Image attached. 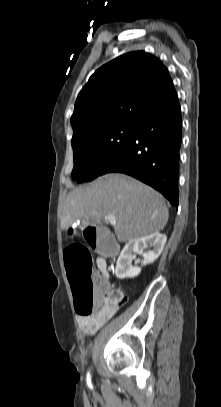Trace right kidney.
Here are the masks:
<instances>
[{
  "mask_svg": "<svg viewBox=\"0 0 221 407\" xmlns=\"http://www.w3.org/2000/svg\"><path fill=\"white\" fill-rule=\"evenodd\" d=\"M167 237L164 234L153 233L135 240L129 241L120 253L117 260L115 275L119 279L134 278L141 272V267L131 264L134 254H143L142 265L153 263L163 251ZM148 244L153 247L146 253L143 250L148 247Z\"/></svg>",
  "mask_w": 221,
  "mask_h": 407,
  "instance_id": "ca27d5eb",
  "label": "right kidney"
}]
</instances>
